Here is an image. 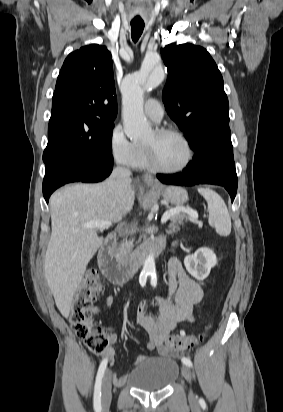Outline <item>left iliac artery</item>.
Listing matches in <instances>:
<instances>
[{
	"label": "left iliac artery",
	"mask_w": 283,
	"mask_h": 412,
	"mask_svg": "<svg viewBox=\"0 0 283 412\" xmlns=\"http://www.w3.org/2000/svg\"><path fill=\"white\" fill-rule=\"evenodd\" d=\"M151 284H152L153 286H156V284H157V278H156V275H155V274H152V275H151ZM182 362H183V364H185V365H187V366H189V367H192V362H191V360H190L189 358L183 357V358H182Z\"/></svg>",
	"instance_id": "left-iliac-artery-1"
}]
</instances>
